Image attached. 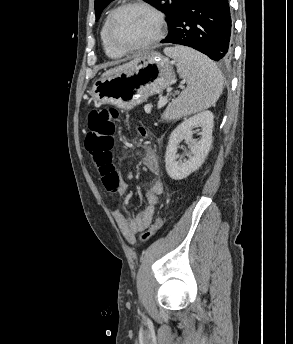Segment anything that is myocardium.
Segmentation results:
<instances>
[{"mask_svg": "<svg viewBox=\"0 0 293 344\" xmlns=\"http://www.w3.org/2000/svg\"><path fill=\"white\" fill-rule=\"evenodd\" d=\"M132 7L142 8L146 10L147 12H149L155 19L156 31L151 38H149L147 41L141 44H138L135 46H124V45L119 44L115 39L114 23L118 14L121 11L127 8H132ZM164 34H165L164 15L157 8H155L154 6H152L151 4L143 0H127L126 2L116 7L109 16L108 25H107L108 41L115 50L124 54L146 50L150 48L151 46L155 45L156 43H158L164 37Z\"/></svg>", "mask_w": 293, "mask_h": 344, "instance_id": "obj_1", "label": "myocardium"}]
</instances>
